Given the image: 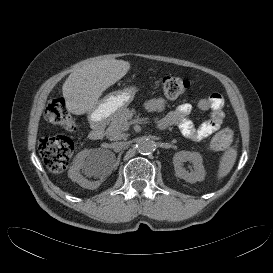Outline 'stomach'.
I'll return each instance as SVG.
<instances>
[{"label":"stomach","mask_w":273,"mask_h":273,"mask_svg":"<svg viewBox=\"0 0 273 273\" xmlns=\"http://www.w3.org/2000/svg\"><path fill=\"white\" fill-rule=\"evenodd\" d=\"M136 91L135 87H128L109 93L89 112V119L93 122H103L111 119L133 101Z\"/></svg>","instance_id":"obj_1"}]
</instances>
